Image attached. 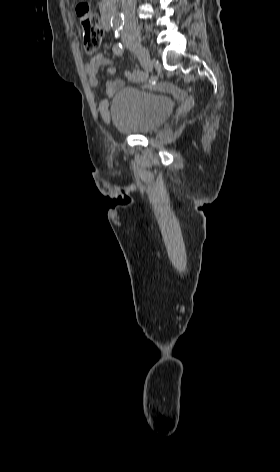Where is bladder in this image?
<instances>
[{
    "label": "bladder",
    "mask_w": 280,
    "mask_h": 472,
    "mask_svg": "<svg viewBox=\"0 0 280 472\" xmlns=\"http://www.w3.org/2000/svg\"><path fill=\"white\" fill-rule=\"evenodd\" d=\"M173 109L174 102L168 96L126 86L115 95L110 114L112 123L120 132L141 134L160 127Z\"/></svg>",
    "instance_id": "31cf9c89"
}]
</instances>
